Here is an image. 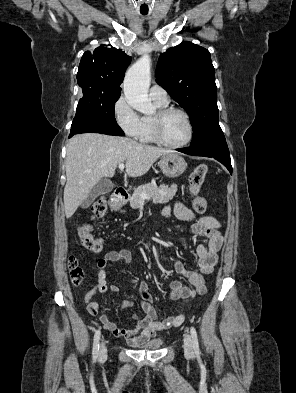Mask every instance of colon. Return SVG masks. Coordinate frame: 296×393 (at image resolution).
<instances>
[{
	"label": "colon",
	"mask_w": 296,
	"mask_h": 393,
	"mask_svg": "<svg viewBox=\"0 0 296 393\" xmlns=\"http://www.w3.org/2000/svg\"><path fill=\"white\" fill-rule=\"evenodd\" d=\"M207 173V167L204 164L198 165L189 177V191L191 195L192 208L197 214L205 213L207 209L206 199L199 195V191L204 183ZM107 209V199L100 197L92 206V217H102ZM79 236L83 247L93 252H99L104 247V242L101 238H97L92 234V229L89 225H83L80 228ZM69 268L71 272L72 282L76 285L80 284L84 278V271L79 266L78 260L75 257L69 258Z\"/></svg>",
	"instance_id": "1"
}]
</instances>
